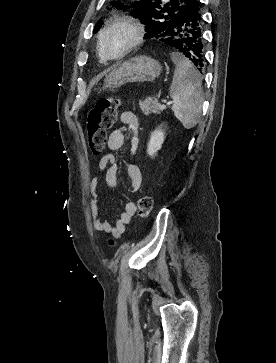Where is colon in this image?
Listing matches in <instances>:
<instances>
[{
  "mask_svg": "<svg viewBox=\"0 0 276 363\" xmlns=\"http://www.w3.org/2000/svg\"><path fill=\"white\" fill-rule=\"evenodd\" d=\"M121 105L118 97L100 99L89 110L87 115L88 142L92 153L99 156L103 153L107 132L113 126L117 111ZM138 213L142 218H148L153 207L150 195H142L138 200Z\"/></svg>",
  "mask_w": 276,
  "mask_h": 363,
  "instance_id": "colon-1",
  "label": "colon"
}]
</instances>
